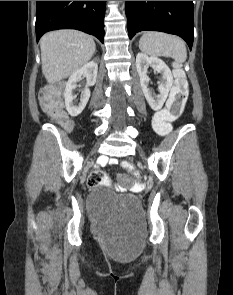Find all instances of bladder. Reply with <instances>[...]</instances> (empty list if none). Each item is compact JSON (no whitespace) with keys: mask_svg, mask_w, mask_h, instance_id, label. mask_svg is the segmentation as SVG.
Instances as JSON below:
<instances>
[{"mask_svg":"<svg viewBox=\"0 0 233 295\" xmlns=\"http://www.w3.org/2000/svg\"><path fill=\"white\" fill-rule=\"evenodd\" d=\"M87 207L97 222L140 213V203L131 195H120L96 186L87 198Z\"/></svg>","mask_w":233,"mask_h":295,"instance_id":"1","label":"bladder"}]
</instances>
